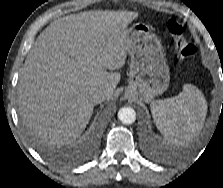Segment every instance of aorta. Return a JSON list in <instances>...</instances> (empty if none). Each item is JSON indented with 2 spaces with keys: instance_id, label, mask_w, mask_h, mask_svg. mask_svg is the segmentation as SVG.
Masks as SVG:
<instances>
[{
  "instance_id": "762f6f07",
  "label": "aorta",
  "mask_w": 223,
  "mask_h": 188,
  "mask_svg": "<svg viewBox=\"0 0 223 188\" xmlns=\"http://www.w3.org/2000/svg\"><path fill=\"white\" fill-rule=\"evenodd\" d=\"M118 119L123 124H132L136 120V113L133 108L131 107H122L118 111Z\"/></svg>"
}]
</instances>
